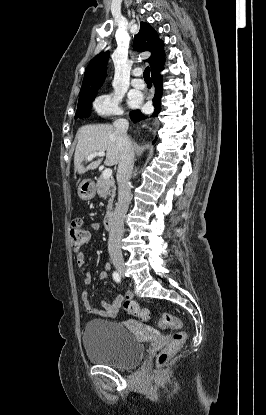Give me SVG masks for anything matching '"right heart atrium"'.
Instances as JSON below:
<instances>
[{
	"label": "right heart atrium",
	"mask_w": 266,
	"mask_h": 415,
	"mask_svg": "<svg viewBox=\"0 0 266 415\" xmlns=\"http://www.w3.org/2000/svg\"><path fill=\"white\" fill-rule=\"evenodd\" d=\"M120 97L116 94H104L99 96L93 103L95 111L100 115H119Z\"/></svg>",
	"instance_id": "obj_1"
}]
</instances>
